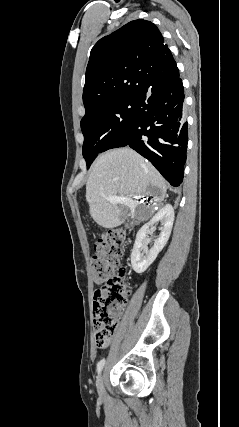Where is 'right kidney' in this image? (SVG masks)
<instances>
[{
  "mask_svg": "<svg viewBox=\"0 0 239 427\" xmlns=\"http://www.w3.org/2000/svg\"><path fill=\"white\" fill-rule=\"evenodd\" d=\"M157 222H161L162 224V227L160 228L161 233L155 240L154 246L146 253V255L143 256L141 251L146 249V245L148 243L146 236L149 232V227L155 225ZM173 222L174 209L171 205L167 204L162 207L148 223L144 224L140 228L136 235V240L131 253V265L136 273H143L154 262L170 237Z\"/></svg>",
  "mask_w": 239,
  "mask_h": 427,
  "instance_id": "obj_1",
  "label": "right kidney"
}]
</instances>
